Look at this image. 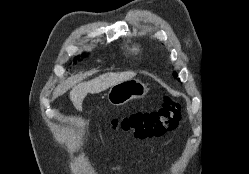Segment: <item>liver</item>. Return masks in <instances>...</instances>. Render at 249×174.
Here are the masks:
<instances>
[{"label":"liver","mask_w":249,"mask_h":174,"mask_svg":"<svg viewBox=\"0 0 249 174\" xmlns=\"http://www.w3.org/2000/svg\"><path fill=\"white\" fill-rule=\"evenodd\" d=\"M135 76L134 72L106 73L88 82L75 86L70 91V99L77 109L81 108L82 102L88 93H100L113 85L130 80Z\"/></svg>","instance_id":"obj_1"}]
</instances>
